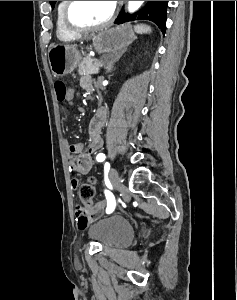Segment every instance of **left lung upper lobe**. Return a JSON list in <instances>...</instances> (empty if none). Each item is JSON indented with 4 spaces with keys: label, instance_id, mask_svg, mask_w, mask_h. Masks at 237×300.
I'll list each match as a JSON object with an SVG mask.
<instances>
[{
    "label": "left lung upper lobe",
    "instance_id": "5c2ea615",
    "mask_svg": "<svg viewBox=\"0 0 237 300\" xmlns=\"http://www.w3.org/2000/svg\"><path fill=\"white\" fill-rule=\"evenodd\" d=\"M56 1H50L52 8H54ZM166 8L165 1H148L146 6L134 13L133 15L125 14L123 11L120 13L116 24L124 23L125 21L135 19H146L154 22L165 33L166 29Z\"/></svg>",
    "mask_w": 237,
    "mask_h": 300
}]
</instances>
